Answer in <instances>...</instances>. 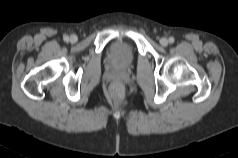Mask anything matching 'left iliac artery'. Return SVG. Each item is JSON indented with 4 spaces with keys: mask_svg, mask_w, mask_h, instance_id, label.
<instances>
[{
    "mask_svg": "<svg viewBox=\"0 0 238 158\" xmlns=\"http://www.w3.org/2000/svg\"><path fill=\"white\" fill-rule=\"evenodd\" d=\"M174 41H175V40H174L173 37H170V38H169V42H170V43H174Z\"/></svg>",
    "mask_w": 238,
    "mask_h": 158,
    "instance_id": "obj_1",
    "label": "left iliac artery"
}]
</instances>
